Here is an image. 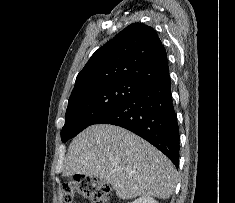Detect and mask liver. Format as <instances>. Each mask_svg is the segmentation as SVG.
Returning a JSON list of instances; mask_svg holds the SVG:
<instances>
[{
  "label": "liver",
  "instance_id": "obj_1",
  "mask_svg": "<svg viewBox=\"0 0 235 203\" xmlns=\"http://www.w3.org/2000/svg\"><path fill=\"white\" fill-rule=\"evenodd\" d=\"M83 174L109 182L120 199H168L177 173L172 162L136 134L119 126L96 124L70 144L63 175Z\"/></svg>",
  "mask_w": 235,
  "mask_h": 203
}]
</instances>
